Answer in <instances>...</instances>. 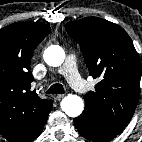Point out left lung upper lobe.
Wrapping results in <instances>:
<instances>
[{
	"instance_id": "obj_1",
	"label": "left lung upper lobe",
	"mask_w": 142,
	"mask_h": 142,
	"mask_svg": "<svg viewBox=\"0 0 142 142\" xmlns=\"http://www.w3.org/2000/svg\"><path fill=\"white\" fill-rule=\"evenodd\" d=\"M65 27L80 44L90 76L100 80L95 91L84 96L85 110L123 131L140 95L141 63L131 38L119 25L97 17Z\"/></svg>"
}]
</instances>
